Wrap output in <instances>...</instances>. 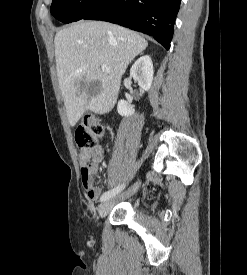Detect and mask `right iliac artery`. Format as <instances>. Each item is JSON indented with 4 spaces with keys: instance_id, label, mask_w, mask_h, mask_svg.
Listing matches in <instances>:
<instances>
[{
    "instance_id": "right-iliac-artery-1",
    "label": "right iliac artery",
    "mask_w": 247,
    "mask_h": 275,
    "mask_svg": "<svg viewBox=\"0 0 247 275\" xmlns=\"http://www.w3.org/2000/svg\"><path fill=\"white\" fill-rule=\"evenodd\" d=\"M123 188H124V184L123 185H119V186L115 187L114 189L105 192L101 196L100 201L103 202V201H106V200L110 199L111 197H113L116 194H118Z\"/></svg>"
}]
</instances>
